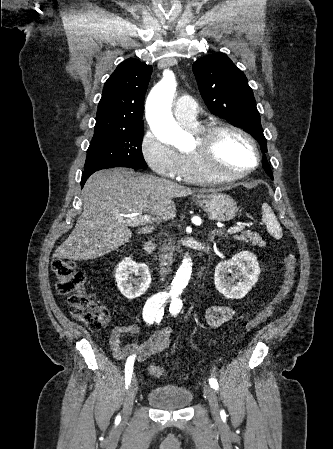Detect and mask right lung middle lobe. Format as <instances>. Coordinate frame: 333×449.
Wrapping results in <instances>:
<instances>
[{
    "label": "right lung middle lobe",
    "mask_w": 333,
    "mask_h": 449,
    "mask_svg": "<svg viewBox=\"0 0 333 449\" xmlns=\"http://www.w3.org/2000/svg\"><path fill=\"white\" fill-rule=\"evenodd\" d=\"M142 140L143 127L132 131H95L87 150L84 172L111 167L146 168Z\"/></svg>",
    "instance_id": "dd1d6c3e"
}]
</instances>
